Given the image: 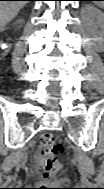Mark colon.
Returning <instances> with one entry per match:
<instances>
[{
	"label": "colon",
	"instance_id": "colon-1",
	"mask_svg": "<svg viewBox=\"0 0 104 189\" xmlns=\"http://www.w3.org/2000/svg\"><path fill=\"white\" fill-rule=\"evenodd\" d=\"M60 147L55 138L50 134L42 136L38 150L40 167L44 177H50L56 174L60 169V162L56 158Z\"/></svg>",
	"mask_w": 104,
	"mask_h": 189
}]
</instances>
